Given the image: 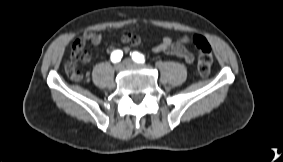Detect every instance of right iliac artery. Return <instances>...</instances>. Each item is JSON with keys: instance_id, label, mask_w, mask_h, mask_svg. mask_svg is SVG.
Instances as JSON below:
<instances>
[{"instance_id": "obj_1", "label": "right iliac artery", "mask_w": 283, "mask_h": 162, "mask_svg": "<svg viewBox=\"0 0 283 162\" xmlns=\"http://www.w3.org/2000/svg\"><path fill=\"white\" fill-rule=\"evenodd\" d=\"M123 56V52L121 50H115L111 54V61L113 63L119 62Z\"/></svg>"}]
</instances>
